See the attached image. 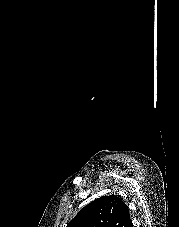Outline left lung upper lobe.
I'll list each match as a JSON object with an SVG mask.
<instances>
[{"instance_id": "5c2ea615", "label": "left lung upper lobe", "mask_w": 179, "mask_h": 227, "mask_svg": "<svg viewBox=\"0 0 179 227\" xmlns=\"http://www.w3.org/2000/svg\"><path fill=\"white\" fill-rule=\"evenodd\" d=\"M66 227H133L129 209L118 196L95 199L67 224Z\"/></svg>"}]
</instances>
